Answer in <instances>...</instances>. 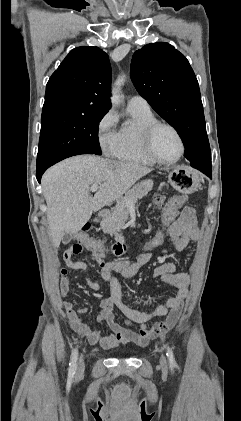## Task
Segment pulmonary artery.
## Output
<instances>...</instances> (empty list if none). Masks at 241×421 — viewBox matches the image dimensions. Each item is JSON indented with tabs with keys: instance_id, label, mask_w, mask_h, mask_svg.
I'll use <instances>...</instances> for the list:
<instances>
[{
	"instance_id": "pulmonary-artery-1",
	"label": "pulmonary artery",
	"mask_w": 241,
	"mask_h": 421,
	"mask_svg": "<svg viewBox=\"0 0 241 421\" xmlns=\"http://www.w3.org/2000/svg\"><path fill=\"white\" fill-rule=\"evenodd\" d=\"M128 108L150 110V105L143 97L134 95L128 100Z\"/></svg>"
}]
</instances>
